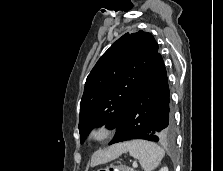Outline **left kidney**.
I'll return each instance as SVG.
<instances>
[{"mask_svg":"<svg viewBox=\"0 0 223 171\" xmlns=\"http://www.w3.org/2000/svg\"><path fill=\"white\" fill-rule=\"evenodd\" d=\"M159 171H169L167 167L161 168Z\"/></svg>","mask_w":223,"mask_h":171,"instance_id":"obj_1","label":"left kidney"}]
</instances>
